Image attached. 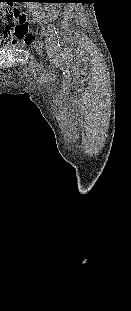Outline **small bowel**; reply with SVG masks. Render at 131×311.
<instances>
[{"label": "small bowel", "instance_id": "c3829d8e", "mask_svg": "<svg viewBox=\"0 0 131 311\" xmlns=\"http://www.w3.org/2000/svg\"><path fill=\"white\" fill-rule=\"evenodd\" d=\"M35 18L40 19L41 16L39 14L34 15ZM28 29H24L23 26H18L10 33V37L12 38V43H20L24 45H31L34 43L36 34L27 31ZM2 37H6L5 34H2Z\"/></svg>", "mask_w": 131, "mask_h": 311}]
</instances>
